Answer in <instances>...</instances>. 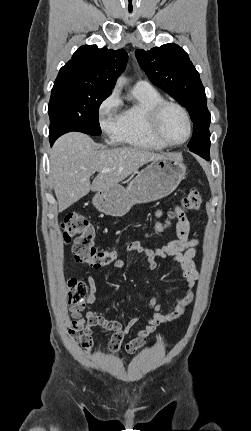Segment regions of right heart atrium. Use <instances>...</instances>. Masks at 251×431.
Instances as JSON below:
<instances>
[{"label": "right heart atrium", "instance_id": "1", "mask_svg": "<svg viewBox=\"0 0 251 431\" xmlns=\"http://www.w3.org/2000/svg\"><path fill=\"white\" fill-rule=\"evenodd\" d=\"M120 100L115 91L104 98L97 108L98 124L107 136H114L120 119Z\"/></svg>", "mask_w": 251, "mask_h": 431}]
</instances>
